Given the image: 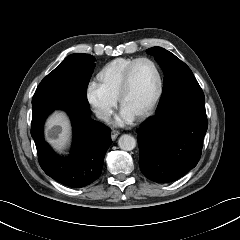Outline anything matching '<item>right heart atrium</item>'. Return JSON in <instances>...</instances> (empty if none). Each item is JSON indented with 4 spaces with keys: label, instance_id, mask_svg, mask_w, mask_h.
Instances as JSON below:
<instances>
[{
    "label": "right heart atrium",
    "instance_id": "d8ad5b80",
    "mask_svg": "<svg viewBox=\"0 0 240 240\" xmlns=\"http://www.w3.org/2000/svg\"><path fill=\"white\" fill-rule=\"evenodd\" d=\"M86 99L95 112L102 120H106L116 106V99L109 96L98 84L91 82L86 89Z\"/></svg>",
    "mask_w": 240,
    "mask_h": 240
}]
</instances>
